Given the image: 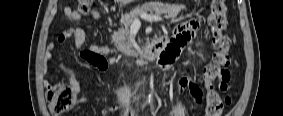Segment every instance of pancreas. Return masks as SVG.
<instances>
[{"mask_svg":"<svg viewBox=\"0 0 283 116\" xmlns=\"http://www.w3.org/2000/svg\"><path fill=\"white\" fill-rule=\"evenodd\" d=\"M184 9L185 6L183 5H165L157 1L138 6L131 10L130 13L124 15L123 19L121 20L123 27L113 33L112 42L120 51L133 52L129 37V27L135 18L139 17L140 14L149 12L151 15L160 16L165 14L166 18L175 19Z\"/></svg>","mask_w":283,"mask_h":116,"instance_id":"pancreas-1","label":"pancreas"}]
</instances>
